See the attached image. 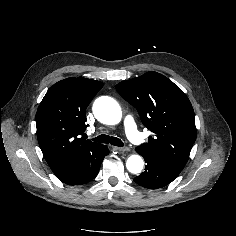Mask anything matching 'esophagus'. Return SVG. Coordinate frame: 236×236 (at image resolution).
<instances>
[{"mask_svg": "<svg viewBox=\"0 0 236 236\" xmlns=\"http://www.w3.org/2000/svg\"><path fill=\"white\" fill-rule=\"evenodd\" d=\"M113 149H114V150H117V151H121V152H127V151H129V148H128V147H117V146H114Z\"/></svg>", "mask_w": 236, "mask_h": 236, "instance_id": "obj_1", "label": "esophagus"}]
</instances>
